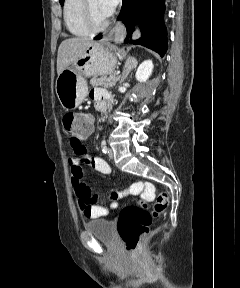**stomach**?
<instances>
[{"label": "stomach", "mask_w": 240, "mask_h": 288, "mask_svg": "<svg viewBox=\"0 0 240 288\" xmlns=\"http://www.w3.org/2000/svg\"><path fill=\"white\" fill-rule=\"evenodd\" d=\"M117 58L104 42H93L56 80V94L66 110L78 107L88 95L86 77L111 75Z\"/></svg>", "instance_id": "stomach-1"}]
</instances>
